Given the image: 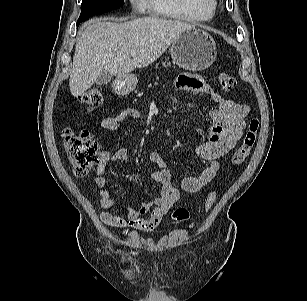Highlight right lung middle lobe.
<instances>
[{"instance_id": "obj_1", "label": "right lung middle lobe", "mask_w": 307, "mask_h": 301, "mask_svg": "<svg viewBox=\"0 0 307 301\" xmlns=\"http://www.w3.org/2000/svg\"><path fill=\"white\" fill-rule=\"evenodd\" d=\"M123 3L124 0H82L81 14L77 23L84 22L93 15L117 9Z\"/></svg>"}]
</instances>
